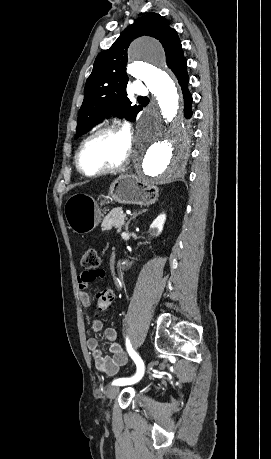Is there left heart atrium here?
<instances>
[{
	"label": "left heart atrium",
	"mask_w": 271,
	"mask_h": 459,
	"mask_svg": "<svg viewBox=\"0 0 271 459\" xmlns=\"http://www.w3.org/2000/svg\"><path fill=\"white\" fill-rule=\"evenodd\" d=\"M125 134H126L127 138L129 139V141L131 142V140H132V129H131V127H129V126L126 127Z\"/></svg>",
	"instance_id": "1"
}]
</instances>
